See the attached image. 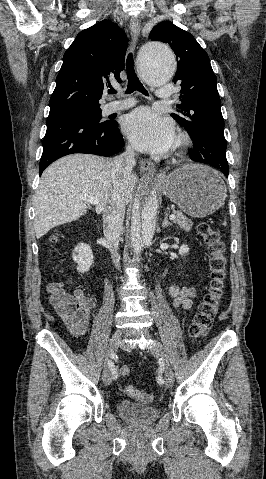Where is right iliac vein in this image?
Segmentation results:
<instances>
[{
    "label": "right iliac vein",
    "mask_w": 266,
    "mask_h": 479,
    "mask_svg": "<svg viewBox=\"0 0 266 479\" xmlns=\"http://www.w3.org/2000/svg\"><path fill=\"white\" fill-rule=\"evenodd\" d=\"M121 340V330L115 331V333L112 335L109 345H108V354L109 356H112L115 354L117 351L119 344ZM103 381L106 385H109L111 383V372L108 366H105L104 371H103Z\"/></svg>",
    "instance_id": "right-iliac-vein-1"
}]
</instances>
